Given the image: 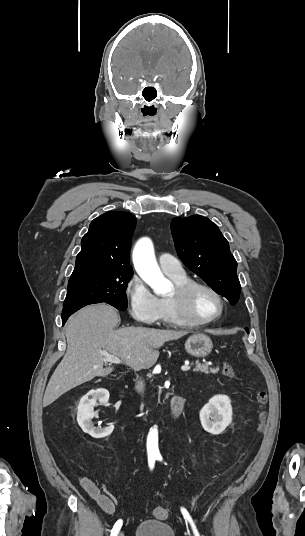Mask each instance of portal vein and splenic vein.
Returning a JSON list of instances; mask_svg holds the SVG:
<instances>
[{"instance_id": "18ae733b", "label": "portal vein and splenic vein", "mask_w": 305, "mask_h": 536, "mask_svg": "<svg viewBox=\"0 0 305 536\" xmlns=\"http://www.w3.org/2000/svg\"><path fill=\"white\" fill-rule=\"evenodd\" d=\"M102 356H104L105 362H110V364H121V360H119V358H116V356H111V354H107V352H104ZM181 370H183V372H187V370H190V366L185 364V366H181Z\"/></svg>"}]
</instances>
